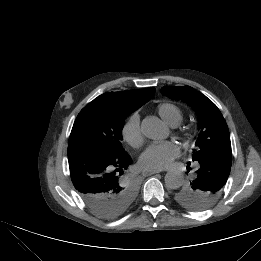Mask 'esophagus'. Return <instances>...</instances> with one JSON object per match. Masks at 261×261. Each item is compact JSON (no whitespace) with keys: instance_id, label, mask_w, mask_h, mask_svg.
<instances>
[{"instance_id":"34e87169","label":"esophagus","mask_w":261,"mask_h":261,"mask_svg":"<svg viewBox=\"0 0 261 261\" xmlns=\"http://www.w3.org/2000/svg\"><path fill=\"white\" fill-rule=\"evenodd\" d=\"M161 172V170H147V171H143V176H150L156 173Z\"/></svg>"}]
</instances>
